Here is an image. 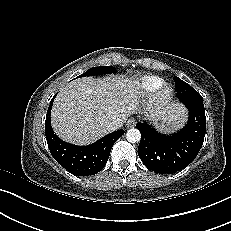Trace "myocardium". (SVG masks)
<instances>
[{
	"mask_svg": "<svg viewBox=\"0 0 231 231\" xmlns=\"http://www.w3.org/2000/svg\"><path fill=\"white\" fill-rule=\"evenodd\" d=\"M174 90L171 85L163 84L151 97L149 108L152 111L160 112L165 110L173 101Z\"/></svg>",
	"mask_w": 231,
	"mask_h": 231,
	"instance_id": "1",
	"label": "myocardium"
}]
</instances>
